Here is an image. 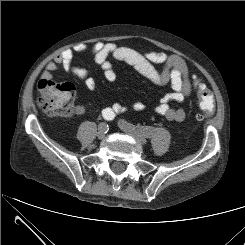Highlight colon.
<instances>
[{
	"label": "colon",
	"mask_w": 245,
	"mask_h": 245,
	"mask_svg": "<svg viewBox=\"0 0 245 245\" xmlns=\"http://www.w3.org/2000/svg\"><path fill=\"white\" fill-rule=\"evenodd\" d=\"M194 87L204 114H212L214 111V98L211 91L200 79H195ZM38 88L40 91L38 105L44 112L58 117H69L72 115L75 89L71 83L41 80ZM199 118H204V115L199 116Z\"/></svg>",
	"instance_id": "colon-1"
}]
</instances>
